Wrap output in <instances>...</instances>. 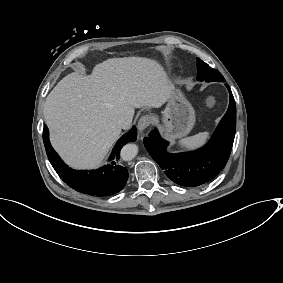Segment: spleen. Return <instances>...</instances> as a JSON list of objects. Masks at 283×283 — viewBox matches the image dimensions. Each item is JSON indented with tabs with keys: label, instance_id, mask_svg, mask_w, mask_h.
Here are the masks:
<instances>
[{
	"label": "spleen",
	"instance_id": "obj_1",
	"mask_svg": "<svg viewBox=\"0 0 283 283\" xmlns=\"http://www.w3.org/2000/svg\"><path fill=\"white\" fill-rule=\"evenodd\" d=\"M208 136H209L208 132H201L194 136L180 140L179 144L187 149H194L196 147L203 145L206 139L208 138Z\"/></svg>",
	"mask_w": 283,
	"mask_h": 283
}]
</instances>
